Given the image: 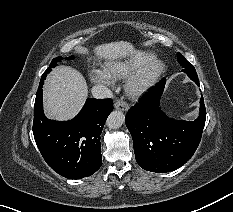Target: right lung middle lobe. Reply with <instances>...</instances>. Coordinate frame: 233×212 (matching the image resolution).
<instances>
[{
  "label": "right lung middle lobe",
  "instance_id": "dd1d6c3e",
  "mask_svg": "<svg viewBox=\"0 0 233 212\" xmlns=\"http://www.w3.org/2000/svg\"><path fill=\"white\" fill-rule=\"evenodd\" d=\"M74 57H68L67 59H73ZM63 58L62 57H57L52 60L50 66L47 68V70L43 73L44 76H46L47 73L51 71V69L57 64V62L61 61Z\"/></svg>",
  "mask_w": 233,
  "mask_h": 212
}]
</instances>
